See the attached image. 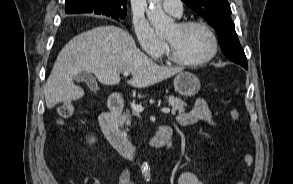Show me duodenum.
<instances>
[{"label":"duodenum","mask_w":293,"mask_h":184,"mask_svg":"<svg viewBox=\"0 0 293 184\" xmlns=\"http://www.w3.org/2000/svg\"><path fill=\"white\" fill-rule=\"evenodd\" d=\"M124 106L121 95L114 94L108 100V110L99 117L101 129L109 143L124 157L132 159L136 153V146L117 128L116 122ZM172 130L167 125L159 127L151 138L149 145L153 148H170Z\"/></svg>","instance_id":"obj_1"}]
</instances>
